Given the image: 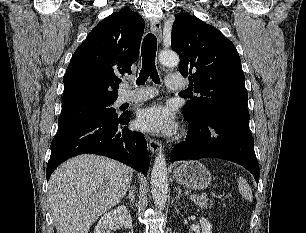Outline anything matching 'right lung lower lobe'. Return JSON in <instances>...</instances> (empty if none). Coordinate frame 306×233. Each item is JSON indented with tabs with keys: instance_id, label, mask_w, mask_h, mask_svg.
I'll list each match as a JSON object with an SVG mask.
<instances>
[{
	"instance_id": "98d812e1",
	"label": "right lung lower lobe",
	"mask_w": 306,
	"mask_h": 233,
	"mask_svg": "<svg viewBox=\"0 0 306 233\" xmlns=\"http://www.w3.org/2000/svg\"><path fill=\"white\" fill-rule=\"evenodd\" d=\"M129 120L130 113L94 116L59 127L51 143L47 180L65 160L84 153L108 156L146 174L147 142L142 134L128 129Z\"/></svg>"
}]
</instances>
